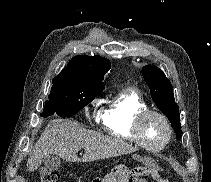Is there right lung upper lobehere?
<instances>
[{"label": "right lung upper lobe", "instance_id": "obj_1", "mask_svg": "<svg viewBox=\"0 0 211 182\" xmlns=\"http://www.w3.org/2000/svg\"><path fill=\"white\" fill-rule=\"evenodd\" d=\"M111 68L110 61L101 56H74L57 76L104 89V75Z\"/></svg>", "mask_w": 211, "mask_h": 182}]
</instances>
